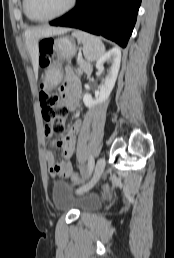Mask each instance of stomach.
I'll return each mask as SVG.
<instances>
[{
    "mask_svg": "<svg viewBox=\"0 0 174 258\" xmlns=\"http://www.w3.org/2000/svg\"><path fill=\"white\" fill-rule=\"evenodd\" d=\"M52 48L55 60L50 61L45 71L44 84L46 91L52 90L61 82L62 61L71 59L76 53L75 42L70 37L55 39Z\"/></svg>",
    "mask_w": 174,
    "mask_h": 258,
    "instance_id": "obj_1",
    "label": "stomach"
}]
</instances>
